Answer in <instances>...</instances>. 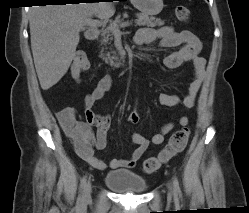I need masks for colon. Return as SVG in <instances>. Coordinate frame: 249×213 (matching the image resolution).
I'll return each mask as SVG.
<instances>
[{"instance_id": "obj_1", "label": "colon", "mask_w": 249, "mask_h": 213, "mask_svg": "<svg viewBox=\"0 0 249 213\" xmlns=\"http://www.w3.org/2000/svg\"><path fill=\"white\" fill-rule=\"evenodd\" d=\"M175 13L177 18L183 22H187L190 19V10L186 6H177L175 9ZM88 69L89 63L86 56L81 52H77L74 55L71 65L72 76L77 79ZM189 135L190 130L187 127L173 133L166 146L156 158H151L144 161L142 166L144 172H155L158 168L161 167L162 164L168 162L172 157L180 153L185 148L189 139Z\"/></svg>"}]
</instances>
